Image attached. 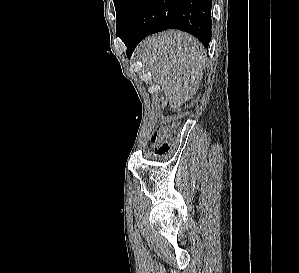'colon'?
<instances>
[{
    "instance_id": "1",
    "label": "colon",
    "mask_w": 299,
    "mask_h": 273,
    "mask_svg": "<svg viewBox=\"0 0 299 273\" xmlns=\"http://www.w3.org/2000/svg\"><path fill=\"white\" fill-rule=\"evenodd\" d=\"M174 137V126L170 124H160L152 136V143L154 144L156 153L159 156L164 155L170 146Z\"/></svg>"
}]
</instances>
